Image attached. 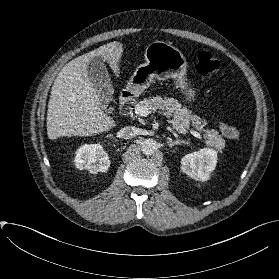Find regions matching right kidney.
Returning <instances> with one entry per match:
<instances>
[{
  "instance_id": "obj_1",
  "label": "right kidney",
  "mask_w": 279,
  "mask_h": 279,
  "mask_svg": "<svg viewBox=\"0 0 279 279\" xmlns=\"http://www.w3.org/2000/svg\"><path fill=\"white\" fill-rule=\"evenodd\" d=\"M75 166L92 174L106 172L110 167L108 154L100 144H83L75 152Z\"/></svg>"
}]
</instances>
